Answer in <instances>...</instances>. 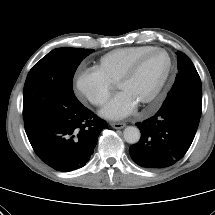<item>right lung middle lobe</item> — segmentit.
<instances>
[{
    "instance_id": "1",
    "label": "right lung middle lobe",
    "mask_w": 215,
    "mask_h": 215,
    "mask_svg": "<svg viewBox=\"0 0 215 215\" xmlns=\"http://www.w3.org/2000/svg\"><path fill=\"white\" fill-rule=\"evenodd\" d=\"M93 49L57 48L30 70L23 90L26 133L81 103L74 95L72 80L80 62Z\"/></svg>"
}]
</instances>
